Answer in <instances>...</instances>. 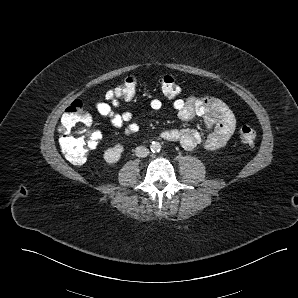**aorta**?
Returning a JSON list of instances; mask_svg holds the SVG:
<instances>
[{
    "label": "aorta",
    "mask_w": 298,
    "mask_h": 298,
    "mask_svg": "<svg viewBox=\"0 0 298 298\" xmlns=\"http://www.w3.org/2000/svg\"><path fill=\"white\" fill-rule=\"evenodd\" d=\"M150 150L153 153H158L161 150V144L158 141H152L150 144Z\"/></svg>",
    "instance_id": "762f6f07"
}]
</instances>
